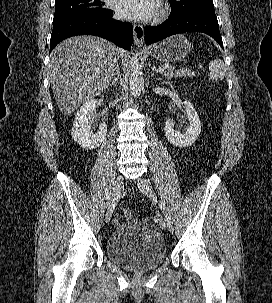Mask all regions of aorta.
<instances>
[{
	"instance_id": "762f6f07",
	"label": "aorta",
	"mask_w": 272,
	"mask_h": 303,
	"mask_svg": "<svg viewBox=\"0 0 272 303\" xmlns=\"http://www.w3.org/2000/svg\"><path fill=\"white\" fill-rule=\"evenodd\" d=\"M129 89L130 94L134 97L140 96L142 90L144 89L142 66L137 54L135 56H132L130 59Z\"/></svg>"
}]
</instances>
